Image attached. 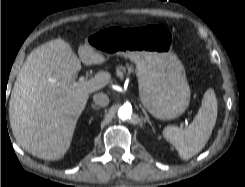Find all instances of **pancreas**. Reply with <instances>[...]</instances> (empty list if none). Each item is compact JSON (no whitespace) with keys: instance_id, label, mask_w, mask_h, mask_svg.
I'll list each match as a JSON object with an SVG mask.
<instances>
[{"instance_id":"pancreas-1","label":"pancreas","mask_w":245,"mask_h":187,"mask_svg":"<svg viewBox=\"0 0 245 187\" xmlns=\"http://www.w3.org/2000/svg\"><path fill=\"white\" fill-rule=\"evenodd\" d=\"M134 71L133 65L126 64L125 66L119 65L116 67V76L120 79H123L124 74L127 72L128 74Z\"/></svg>"}]
</instances>
